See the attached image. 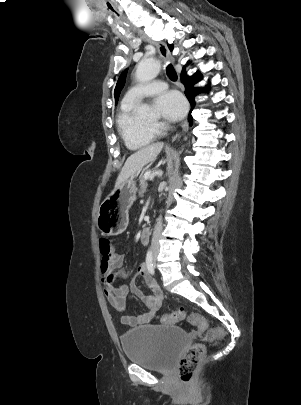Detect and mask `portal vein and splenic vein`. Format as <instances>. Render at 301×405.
Listing matches in <instances>:
<instances>
[{
	"label": "portal vein and splenic vein",
	"mask_w": 301,
	"mask_h": 405,
	"mask_svg": "<svg viewBox=\"0 0 301 405\" xmlns=\"http://www.w3.org/2000/svg\"><path fill=\"white\" fill-rule=\"evenodd\" d=\"M144 177H145L146 179H148V178L150 177V174H149V173H146V174L144 175Z\"/></svg>",
	"instance_id": "portal-vein-and-splenic-vein-1"
}]
</instances>
